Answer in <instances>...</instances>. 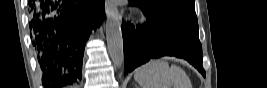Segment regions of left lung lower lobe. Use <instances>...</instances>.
<instances>
[{"mask_svg": "<svg viewBox=\"0 0 267 88\" xmlns=\"http://www.w3.org/2000/svg\"><path fill=\"white\" fill-rule=\"evenodd\" d=\"M122 35L124 74L151 58L170 55L187 60L205 76L197 28L180 24L152 23L135 29L130 23H123Z\"/></svg>", "mask_w": 267, "mask_h": 88, "instance_id": "1", "label": "left lung lower lobe"}]
</instances>
